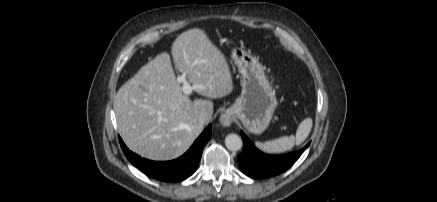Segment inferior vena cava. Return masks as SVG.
<instances>
[{"mask_svg":"<svg viewBox=\"0 0 437 202\" xmlns=\"http://www.w3.org/2000/svg\"><path fill=\"white\" fill-rule=\"evenodd\" d=\"M210 121L209 116L206 113H201L199 116V123L204 125Z\"/></svg>","mask_w":437,"mask_h":202,"instance_id":"602c4592","label":"inferior vena cava"}]
</instances>
